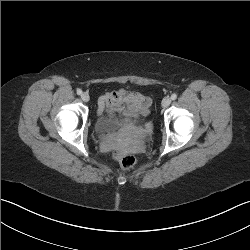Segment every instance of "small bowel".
<instances>
[{"label": "small bowel", "instance_id": "small-bowel-1", "mask_svg": "<svg viewBox=\"0 0 250 250\" xmlns=\"http://www.w3.org/2000/svg\"><path fill=\"white\" fill-rule=\"evenodd\" d=\"M150 105L149 97L121 89L101 95L98 101V113L145 115L148 113Z\"/></svg>", "mask_w": 250, "mask_h": 250}]
</instances>
